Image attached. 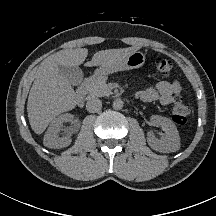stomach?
<instances>
[{"mask_svg":"<svg viewBox=\"0 0 216 216\" xmlns=\"http://www.w3.org/2000/svg\"><path fill=\"white\" fill-rule=\"evenodd\" d=\"M145 59L146 57L142 52L135 51L114 64L101 66L95 71V75H107L118 71L137 69L144 65Z\"/></svg>","mask_w":216,"mask_h":216,"instance_id":"stomach-1","label":"stomach"}]
</instances>
